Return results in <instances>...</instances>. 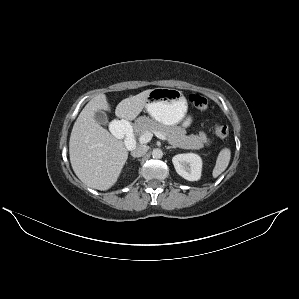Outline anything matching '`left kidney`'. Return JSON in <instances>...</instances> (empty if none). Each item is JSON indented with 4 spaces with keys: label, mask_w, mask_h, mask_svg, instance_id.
I'll return each mask as SVG.
<instances>
[{
    "label": "left kidney",
    "mask_w": 299,
    "mask_h": 299,
    "mask_svg": "<svg viewBox=\"0 0 299 299\" xmlns=\"http://www.w3.org/2000/svg\"><path fill=\"white\" fill-rule=\"evenodd\" d=\"M176 172L188 181H197L201 177L202 159L194 153L177 154L172 158Z\"/></svg>",
    "instance_id": "obj_1"
}]
</instances>
